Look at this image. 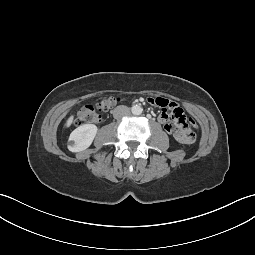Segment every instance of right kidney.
I'll return each mask as SVG.
<instances>
[{
    "label": "right kidney",
    "mask_w": 255,
    "mask_h": 255,
    "mask_svg": "<svg viewBox=\"0 0 255 255\" xmlns=\"http://www.w3.org/2000/svg\"><path fill=\"white\" fill-rule=\"evenodd\" d=\"M98 128L94 124H84L76 128L69 136L68 149L80 152L87 149L93 142Z\"/></svg>",
    "instance_id": "obj_1"
}]
</instances>
